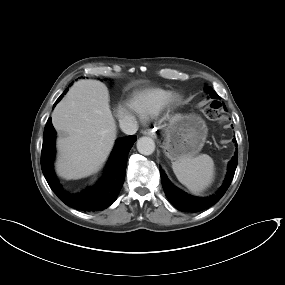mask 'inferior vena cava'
I'll list each match as a JSON object with an SVG mask.
<instances>
[{"label": "inferior vena cava", "mask_w": 285, "mask_h": 285, "mask_svg": "<svg viewBox=\"0 0 285 285\" xmlns=\"http://www.w3.org/2000/svg\"><path fill=\"white\" fill-rule=\"evenodd\" d=\"M119 125L121 130L127 135H133L138 130L137 122L133 116L125 115L120 118Z\"/></svg>", "instance_id": "inferior-vena-cava-1"}]
</instances>
